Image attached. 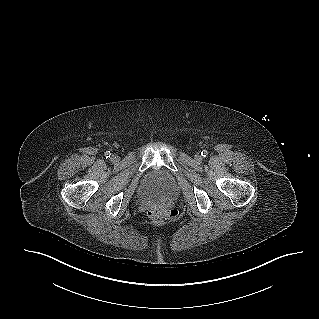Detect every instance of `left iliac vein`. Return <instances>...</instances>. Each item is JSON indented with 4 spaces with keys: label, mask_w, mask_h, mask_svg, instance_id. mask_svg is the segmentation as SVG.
<instances>
[{
    "label": "left iliac vein",
    "mask_w": 319,
    "mask_h": 319,
    "mask_svg": "<svg viewBox=\"0 0 319 319\" xmlns=\"http://www.w3.org/2000/svg\"><path fill=\"white\" fill-rule=\"evenodd\" d=\"M195 160H196L197 162H200V161L202 160V156H201L200 154H196V155H195Z\"/></svg>",
    "instance_id": "obj_1"
}]
</instances>
